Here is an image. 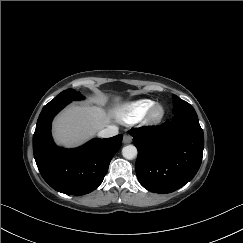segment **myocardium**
<instances>
[{"label": "myocardium", "mask_w": 243, "mask_h": 243, "mask_svg": "<svg viewBox=\"0 0 243 243\" xmlns=\"http://www.w3.org/2000/svg\"><path fill=\"white\" fill-rule=\"evenodd\" d=\"M166 110L162 104H154L145 116V121L149 124H158L165 117Z\"/></svg>", "instance_id": "myocardium-1"}]
</instances>
